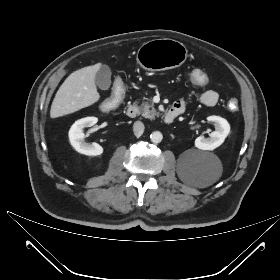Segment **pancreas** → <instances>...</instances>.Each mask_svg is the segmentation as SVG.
<instances>
[{
	"label": "pancreas",
	"mask_w": 280,
	"mask_h": 280,
	"mask_svg": "<svg viewBox=\"0 0 280 280\" xmlns=\"http://www.w3.org/2000/svg\"><path fill=\"white\" fill-rule=\"evenodd\" d=\"M140 111L143 117L154 119L156 116H158V112L154 108V104L150 102V100L146 102H142L140 106Z\"/></svg>",
	"instance_id": "cf45deb5"
}]
</instances>
